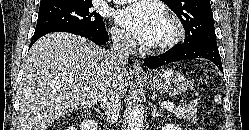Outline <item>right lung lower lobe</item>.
Listing matches in <instances>:
<instances>
[{"label": "right lung lower lobe", "mask_w": 249, "mask_h": 130, "mask_svg": "<svg viewBox=\"0 0 249 130\" xmlns=\"http://www.w3.org/2000/svg\"><path fill=\"white\" fill-rule=\"evenodd\" d=\"M52 32H68L76 35L83 36L97 45H104L108 40V33L104 30H91L84 27H77V26H70V27H62L57 28L49 31H44L40 33H34L30 46L31 47L40 37H42L45 34L52 33Z\"/></svg>", "instance_id": "98d812e1"}]
</instances>
